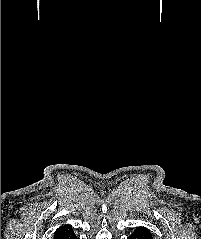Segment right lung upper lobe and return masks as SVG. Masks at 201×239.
Listing matches in <instances>:
<instances>
[{"instance_id": "1", "label": "right lung upper lobe", "mask_w": 201, "mask_h": 239, "mask_svg": "<svg viewBox=\"0 0 201 239\" xmlns=\"http://www.w3.org/2000/svg\"><path fill=\"white\" fill-rule=\"evenodd\" d=\"M73 236L75 234L70 225L59 227L54 233V239H70Z\"/></svg>"}]
</instances>
